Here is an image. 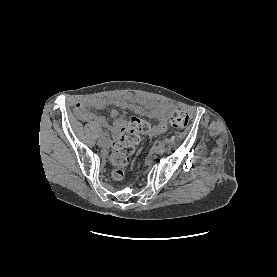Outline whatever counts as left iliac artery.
<instances>
[{
    "label": "left iliac artery",
    "instance_id": "obj_1",
    "mask_svg": "<svg viewBox=\"0 0 277 277\" xmlns=\"http://www.w3.org/2000/svg\"><path fill=\"white\" fill-rule=\"evenodd\" d=\"M169 142H170V140L166 138V139L161 140L160 144L167 145V144H169Z\"/></svg>",
    "mask_w": 277,
    "mask_h": 277
}]
</instances>
